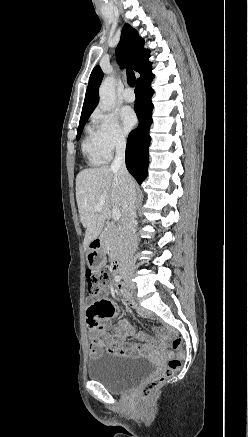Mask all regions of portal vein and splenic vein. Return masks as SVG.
I'll list each match as a JSON object with an SVG mask.
<instances>
[{
  "instance_id": "1",
  "label": "portal vein and splenic vein",
  "mask_w": 248,
  "mask_h": 437,
  "mask_svg": "<svg viewBox=\"0 0 248 437\" xmlns=\"http://www.w3.org/2000/svg\"><path fill=\"white\" fill-rule=\"evenodd\" d=\"M104 202H105V197H101V198L99 199L97 205L94 207V210L97 211V212L101 211ZM112 218H113V220H115V221H116V220H119V219L121 218V212H120V209H118V208H113V209H112Z\"/></svg>"
}]
</instances>
